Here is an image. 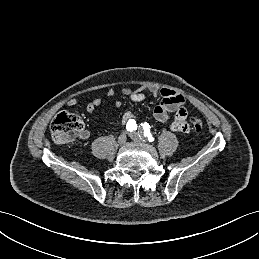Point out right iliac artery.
<instances>
[{
	"mask_svg": "<svg viewBox=\"0 0 259 259\" xmlns=\"http://www.w3.org/2000/svg\"><path fill=\"white\" fill-rule=\"evenodd\" d=\"M126 129H127V131H129V132L135 131V130L137 129L136 121H135L134 119H130V120L127 122Z\"/></svg>",
	"mask_w": 259,
	"mask_h": 259,
	"instance_id": "right-iliac-artery-1",
	"label": "right iliac artery"
}]
</instances>
